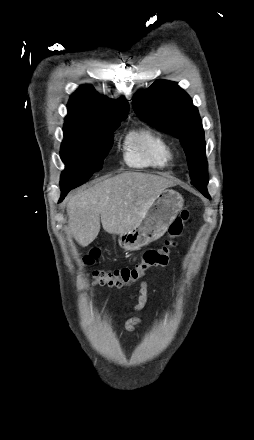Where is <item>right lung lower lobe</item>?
Wrapping results in <instances>:
<instances>
[{
	"mask_svg": "<svg viewBox=\"0 0 254 440\" xmlns=\"http://www.w3.org/2000/svg\"><path fill=\"white\" fill-rule=\"evenodd\" d=\"M69 191L68 190H62V195H61V199H60V201H62L63 199H64V197L66 196V194L68 193Z\"/></svg>",
	"mask_w": 254,
	"mask_h": 440,
	"instance_id": "1",
	"label": "right lung lower lobe"
}]
</instances>
